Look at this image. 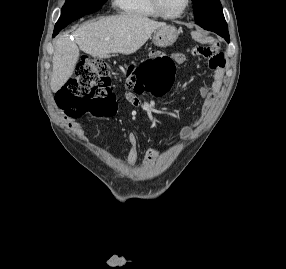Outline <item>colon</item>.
<instances>
[{
  "label": "colon",
  "instance_id": "obj_1",
  "mask_svg": "<svg viewBox=\"0 0 286 269\" xmlns=\"http://www.w3.org/2000/svg\"><path fill=\"white\" fill-rule=\"evenodd\" d=\"M206 46L198 45L194 50L201 52ZM147 58L149 60L142 62L134 73L143 90L162 94L174 82L175 61L165 56L163 49H150ZM111 77L108 62L82 56L76 77L69 80L57 96L58 106L68 118H76L85 112L98 117L115 115L117 106L111 89Z\"/></svg>",
  "mask_w": 286,
  "mask_h": 269
}]
</instances>
